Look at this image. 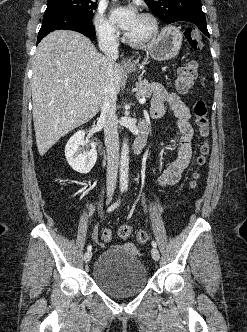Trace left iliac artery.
Returning <instances> with one entry per match:
<instances>
[{
	"mask_svg": "<svg viewBox=\"0 0 247 332\" xmlns=\"http://www.w3.org/2000/svg\"><path fill=\"white\" fill-rule=\"evenodd\" d=\"M151 244H152V246H153V247H155V248H156L157 244H156V242H155L154 240L152 241V243H151Z\"/></svg>",
	"mask_w": 247,
	"mask_h": 332,
	"instance_id": "left-iliac-artery-1",
	"label": "left iliac artery"
}]
</instances>
